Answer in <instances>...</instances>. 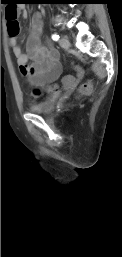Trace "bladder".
<instances>
[{"instance_id":"31cf9c89","label":"bladder","mask_w":122,"mask_h":257,"mask_svg":"<svg viewBox=\"0 0 122 257\" xmlns=\"http://www.w3.org/2000/svg\"><path fill=\"white\" fill-rule=\"evenodd\" d=\"M55 97H50L40 103L31 106V111L37 114H46L53 108Z\"/></svg>"}]
</instances>
